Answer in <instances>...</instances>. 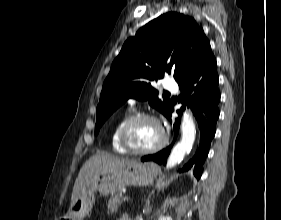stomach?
Returning a JSON list of instances; mask_svg holds the SVG:
<instances>
[{
	"label": "stomach",
	"instance_id": "0dacf381",
	"mask_svg": "<svg viewBox=\"0 0 281 220\" xmlns=\"http://www.w3.org/2000/svg\"><path fill=\"white\" fill-rule=\"evenodd\" d=\"M158 169L151 163H139L129 167L100 173L93 179L73 206H70L64 220H84L92 210L95 193L112 194L126 186H147L153 183Z\"/></svg>",
	"mask_w": 281,
	"mask_h": 220
}]
</instances>
